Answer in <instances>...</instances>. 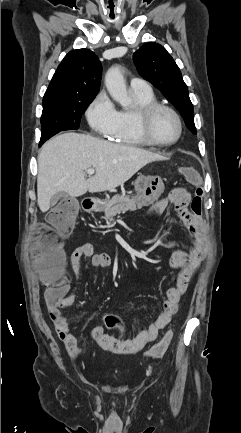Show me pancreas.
Listing matches in <instances>:
<instances>
[{
	"instance_id": "obj_1",
	"label": "pancreas",
	"mask_w": 241,
	"mask_h": 433,
	"mask_svg": "<svg viewBox=\"0 0 241 433\" xmlns=\"http://www.w3.org/2000/svg\"><path fill=\"white\" fill-rule=\"evenodd\" d=\"M143 204L137 201L135 198H131L130 196L115 195L110 201L106 202L103 205L102 210L104 211L105 216L103 217L105 220H111L117 214L126 211H135L140 209Z\"/></svg>"
}]
</instances>
